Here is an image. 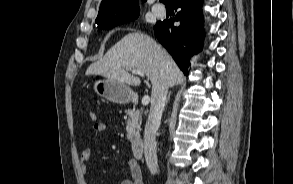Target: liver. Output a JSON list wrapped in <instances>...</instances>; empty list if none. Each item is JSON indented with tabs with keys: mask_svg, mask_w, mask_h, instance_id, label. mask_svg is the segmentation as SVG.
I'll list each match as a JSON object with an SVG mask.
<instances>
[{
	"mask_svg": "<svg viewBox=\"0 0 293 184\" xmlns=\"http://www.w3.org/2000/svg\"><path fill=\"white\" fill-rule=\"evenodd\" d=\"M140 70L152 84V94L166 84L168 87L184 82L185 77L168 52L150 36L129 33L113 45L103 58L92 63L86 75H101L129 85H140V79L129 70Z\"/></svg>",
	"mask_w": 293,
	"mask_h": 184,
	"instance_id": "6515ba94",
	"label": "liver"
}]
</instances>
